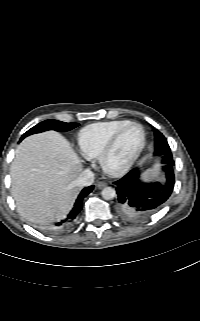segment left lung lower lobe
Returning a JSON list of instances; mask_svg holds the SVG:
<instances>
[{
  "mask_svg": "<svg viewBox=\"0 0 200 321\" xmlns=\"http://www.w3.org/2000/svg\"><path fill=\"white\" fill-rule=\"evenodd\" d=\"M164 176L160 182H143L140 180V172L131 170L123 178L116 181L118 195L117 209L125 221L143 222L170 197L175 177L174 160L171 152H168L161 161Z\"/></svg>",
  "mask_w": 200,
  "mask_h": 321,
  "instance_id": "0a47b994",
  "label": "left lung lower lobe"
}]
</instances>
